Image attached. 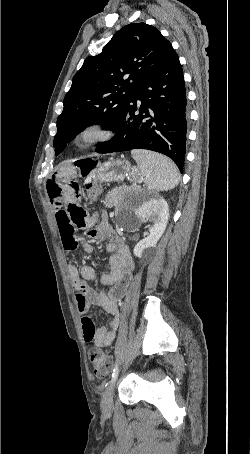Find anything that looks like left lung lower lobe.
Instances as JSON below:
<instances>
[{"instance_id":"1","label":"left lung lower lobe","mask_w":250,"mask_h":454,"mask_svg":"<svg viewBox=\"0 0 250 454\" xmlns=\"http://www.w3.org/2000/svg\"><path fill=\"white\" fill-rule=\"evenodd\" d=\"M137 100L141 105H137ZM186 90L175 50L137 89L114 137L99 144L97 153L148 149L170 157L181 173L186 152ZM139 110V113L136 111Z\"/></svg>"}]
</instances>
